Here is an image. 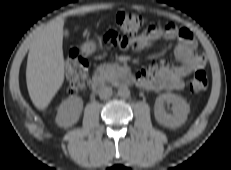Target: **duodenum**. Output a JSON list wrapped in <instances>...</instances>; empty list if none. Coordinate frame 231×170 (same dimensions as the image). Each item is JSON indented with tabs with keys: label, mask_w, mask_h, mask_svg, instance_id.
<instances>
[{
	"label": "duodenum",
	"mask_w": 231,
	"mask_h": 170,
	"mask_svg": "<svg viewBox=\"0 0 231 170\" xmlns=\"http://www.w3.org/2000/svg\"><path fill=\"white\" fill-rule=\"evenodd\" d=\"M110 82L112 84H133L137 82L136 76L133 75L127 68L120 67L117 74L111 78ZM106 83L105 78L101 74H97L93 77L91 82V92L92 94L98 93Z\"/></svg>",
	"instance_id": "obj_1"
}]
</instances>
